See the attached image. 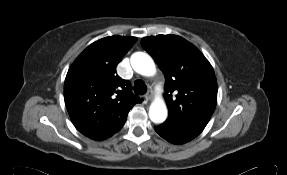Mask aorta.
<instances>
[{"instance_id": "aorta-1", "label": "aorta", "mask_w": 287, "mask_h": 175, "mask_svg": "<svg viewBox=\"0 0 287 175\" xmlns=\"http://www.w3.org/2000/svg\"><path fill=\"white\" fill-rule=\"evenodd\" d=\"M131 66L135 72L143 76H153L156 67L153 59L144 52H136L131 56ZM149 118L154 123H163L167 118V107L162 99L154 100L149 107Z\"/></svg>"}]
</instances>
